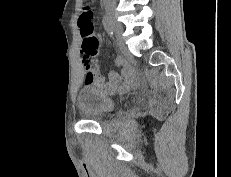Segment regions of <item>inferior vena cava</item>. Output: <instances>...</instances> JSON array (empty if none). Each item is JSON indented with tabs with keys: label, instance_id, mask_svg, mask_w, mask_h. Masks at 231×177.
Masks as SVG:
<instances>
[{
	"label": "inferior vena cava",
	"instance_id": "obj_1",
	"mask_svg": "<svg viewBox=\"0 0 231 177\" xmlns=\"http://www.w3.org/2000/svg\"><path fill=\"white\" fill-rule=\"evenodd\" d=\"M105 2H115L116 0H104Z\"/></svg>",
	"mask_w": 231,
	"mask_h": 177
}]
</instances>
